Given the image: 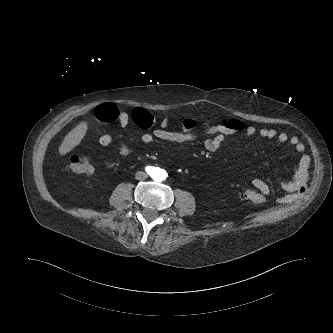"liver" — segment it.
Masks as SVG:
<instances>
[{
	"instance_id": "obj_1",
	"label": "liver",
	"mask_w": 333,
	"mask_h": 333,
	"mask_svg": "<svg viewBox=\"0 0 333 333\" xmlns=\"http://www.w3.org/2000/svg\"><path fill=\"white\" fill-rule=\"evenodd\" d=\"M87 131V122H80L64 137L58 148L59 154L66 155L67 153L71 152L76 146L81 143L83 138L86 136Z\"/></svg>"
}]
</instances>
